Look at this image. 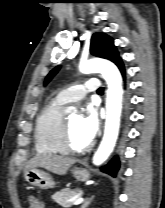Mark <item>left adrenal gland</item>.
<instances>
[{
	"mask_svg": "<svg viewBox=\"0 0 165 208\" xmlns=\"http://www.w3.org/2000/svg\"><path fill=\"white\" fill-rule=\"evenodd\" d=\"M93 198H94V196H92L91 198H86L83 201V203H82L80 208H87L90 205V203L92 202Z\"/></svg>",
	"mask_w": 165,
	"mask_h": 208,
	"instance_id": "left-adrenal-gland-1",
	"label": "left adrenal gland"
}]
</instances>
